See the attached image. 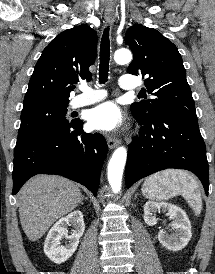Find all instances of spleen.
<instances>
[{
    "label": "spleen",
    "mask_w": 215,
    "mask_h": 274,
    "mask_svg": "<svg viewBox=\"0 0 215 274\" xmlns=\"http://www.w3.org/2000/svg\"><path fill=\"white\" fill-rule=\"evenodd\" d=\"M152 200H167L182 195L195 211L202 207V199L197 180L193 175L181 170H166L148 177L143 188Z\"/></svg>",
    "instance_id": "3e777b00"
}]
</instances>
